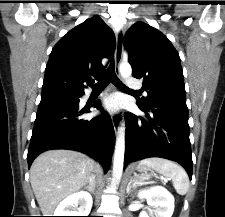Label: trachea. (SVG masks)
<instances>
[{"label": "trachea", "instance_id": "1", "mask_svg": "<svg viewBox=\"0 0 225 217\" xmlns=\"http://www.w3.org/2000/svg\"><path fill=\"white\" fill-rule=\"evenodd\" d=\"M110 82L114 84L116 87L129 89L126 85H124L119 78L116 76L114 71V63L111 61L109 68L107 69V72L103 76V78L96 83L93 88L94 89H103L106 87ZM130 90V89H129Z\"/></svg>", "mask_w": 225, "mask_h": 217}]
</instances>
